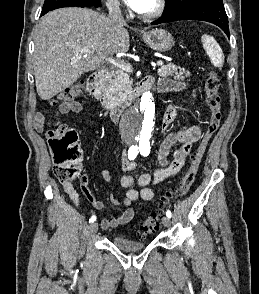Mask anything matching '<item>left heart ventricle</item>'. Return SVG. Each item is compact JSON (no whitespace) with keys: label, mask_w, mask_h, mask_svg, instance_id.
Wrapping results in <instances>:
<instances>
[{"label":"left heart ventricle","mask_w":259,"mask_h":294,"mask_svg":"<svg viewBox=\"0 0 259 294\" xmlns=\"http://www.w3.org/2000/svg\"><path fill=\"white\" fill-rule=\"evenodd\" d=\"M156 1L157 0H146L145 4L141 8V10L138 12L139 13H149V12L153 11L156 7Z\"/></svg>","instance_id":"b2bd125f"}]
</instances>
